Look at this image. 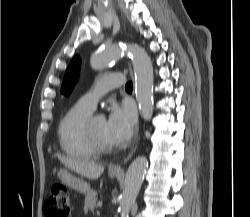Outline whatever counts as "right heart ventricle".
Masks as SVG:
<instances>
[{
	"instance_id": "right-heart-ventricle-1",
	"label": "right heart ventricle",
	"mask_w": 250,
	"mask_h": 217,
	"mask_svg": "<svg viewBox=\"0 0 250 217\" xmlns=\"http://www.w3.org/2000/svg\"><path fill=\"white\" fill-rule=\"evenodd\" d=\"M93 109L80 100L72 104L58 125V139L61 149L70 157L88 159L96 154L84 132V122Z\"/></svg>"
}]
</instances>
